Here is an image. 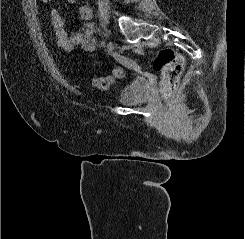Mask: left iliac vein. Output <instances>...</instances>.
Instances as JSON below:
<instances>
[{
    "label": "left iliac vein",
    "instance_id": "obj_1",
    "mask_svg": "<svg viewBox=\"0 0 245 239\" xmlns=\"http://www.w3.org/2000/svg\"><path fill=\"white\" fill-rule=\"evenodd\" d=\"M114 43L112 42V41H109L108 43H107V50H108V52L109 53H111V52H113V50H114Z\"/></svg>",
    "mask_w": 245,
    "mask_h": 239
}]
</instances>
